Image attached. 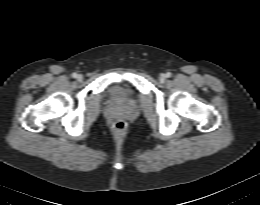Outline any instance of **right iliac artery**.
<instances>
[{"mask_svg": "<svg viewBox=\"0 0 260 205\" xmlns=\"http://www.w3.org/2000/svg\"><path fill=\"white\" fill-rule=\"evenodd\" d=\"M72 77H73V78H76V77H77V73H73V74H72Z\"/></svg>", "mask_w": 260, "mask_h": 205, "instance_id": "1", "label": "right iliac artery"}]
</instances>
